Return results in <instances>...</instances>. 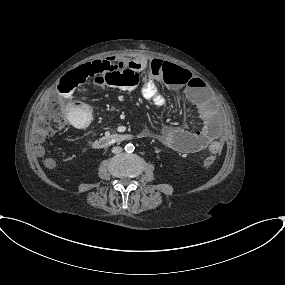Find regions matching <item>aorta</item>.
Wrapping results in <instances>:
<instances>
[{
    "label": "aorta",
    "mask_w": 285,
    "mask_h": 285,
    "mask_svg": "<svg viewBox=\"0 0 285 285\" xmlns=\"http://www.w3.org/2000/svg\"><path fill=\"white\" fill-rule=\"evenodd\" d=\"M134 149H135V147H134V145L131 144V143H128V144L125 145V151L128 152V153L133 152Z\"/></svg>",
    "instance_id": "aorta-1"
}]
</instances>
